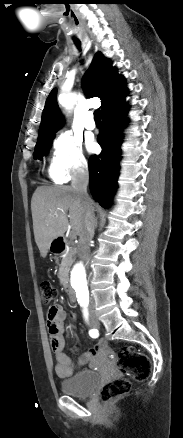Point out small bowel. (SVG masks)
I'll return each instance as SVG.
<instances>
[{
    "label": "small bowel",
    "mask_w": 183,
    "mask_h": 438,
    "mask_svg": "<svg viewBox=\"0 0 183 438\" xmlns=\"http://www.w3.org/2000/svg\"><path fill=\"white\" fill-rule=\"evenodd\" d=\"M66 313L59 305H53L47 312V329L50 338V345L56 359L55 372L58 377L62 379L69 378L76 370L75 364L69 356L64 352V322ZM104 343H99L95 347L87 350L79 358L78 364L83 365L104 348Z\"/></svg>",
    "instance_id": "1"
}]
</instances>
